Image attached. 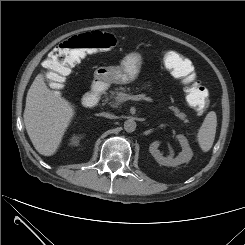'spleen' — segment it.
I'll list each match as a JSON object with an SVG mask.
<instances>
[{
  "label": "spleen",
  "mask_w": 245,
  "mask_h": 245,
  "mask_svg": "<svg viewBox=\"0 0 245 245\" xmlns=\"http://www.w3.org/2000/svg\"><path fill=\"white\" fill-rule=\"evenodd\" d=\"M217 127V116L214 111H210L197 134V141L203 152H208L213 145Z\"/></svg>",
  "instance_id": "3e777b00"
}]
</instances>
